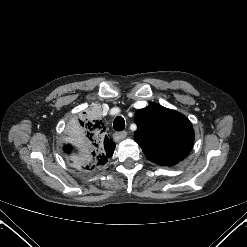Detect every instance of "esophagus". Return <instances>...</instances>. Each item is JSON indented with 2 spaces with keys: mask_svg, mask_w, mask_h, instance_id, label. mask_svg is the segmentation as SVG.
<instances>
[{
  "mask_svg": "<svg viewBox=\"0 0 247 247\" xmlns=\"http://www.w3.org/2000/svg\"><path fill=\"white\" fill-rule=\"evenodd\" d=\"M116 138L119 140L125 139L127 137V132L122 131L115 134Z\"/></svg>",
  "mask_w": 247,
  "mask_h": 247,
  "instance_id": "34e87169",
  "label": "esophagus"
}]
</instances>
